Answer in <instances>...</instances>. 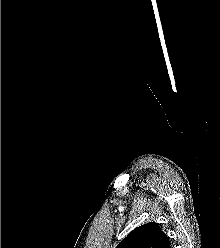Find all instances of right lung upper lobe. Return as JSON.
I'll use <instances>...</instances> for the list:
<instances>
[{
    "label": "right lung upper lobe",
    "instance_id": "1",
    "mask_svg": "<svg viewBox=\"0 0 220 248\" xmlns=\"http://www.w3.org/2000/svg\"><path fill=\"white\" fill-rule=\"evenodd\" d=\"M116 248H171L169 238L155 222L135 228Z\"/></svg>",
    "mask_w": 220,
    "mask_h": 248
}]
</instances>
